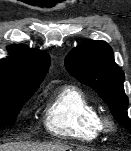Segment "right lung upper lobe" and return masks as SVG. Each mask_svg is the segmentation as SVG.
I'll list each match as a JSON object with an SVG mask.
<instances>
[{
  "instance_id": "1",
  "label": "right lung upper lobe",
  "mask_w": 131,
  "mask_h": 151,
  "mask_svg": "<svg viewBox=\"0 0 131 151\" xmlns=\"http://www.w3.org/2000/svg\"><path fill=\"white\" fill-rule=\"evenodd\" d=\"M8 51L10 56L0 60V85L39 87L50 66L49 55L22 45Z\"/></svg>"
}]
</instances>
